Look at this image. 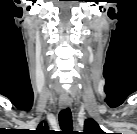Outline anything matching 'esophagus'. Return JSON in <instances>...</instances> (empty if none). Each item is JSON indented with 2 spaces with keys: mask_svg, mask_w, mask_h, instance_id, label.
<instances>
[{
  "mask_svg": "<svg viewBox=\"0 0 137 134\" xmlns=\"http://www.w3.org/2000/svg\"><path fill=\"white\" fill-rule=\"evenodd\" d=\"M59 103L63 109H66V108L70 107V105H71V101H70L69 97H67V96H61Z\"/></svg>",
  "mask_w": 137,
  "mask_h": 134,
  "instance_id": "esophagus-1",
  "label": "esophagus"
}]
</instances>
